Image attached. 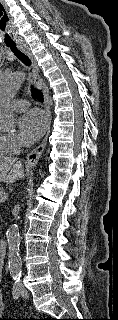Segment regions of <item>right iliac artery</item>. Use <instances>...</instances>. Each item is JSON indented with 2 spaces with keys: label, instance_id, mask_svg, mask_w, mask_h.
Listing matches in <instances>:
<instances>
[{
  "label": "right iliac artery",
  "instance_id": "obj_1",
  "mask_svg": "<svg viewBox=\"0 0 118 320\" xmlns=\"http://www.w3.org/2000/svg\"><path fill=\"white\" fill-rule=\"evenodd\" d=\"M21 290H20V282L15 281L13 284V289H12V295L14 299H18L20 296Z\"/></svg>",
  "mask_w": 118,
  "mask_h": 320
}]
</instances>
